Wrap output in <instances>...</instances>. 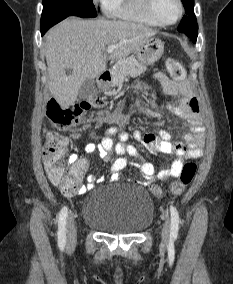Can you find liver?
Segmentation results:
<instances>
[{
    "label": "liver",
    "instance_id": "1",
    "mask_svg": "<svg viewBox=\"0 0 233 284\" xmlns=\"http://www.w3.org/2000/svg\"><path fill=\"white\" fill-rule=\"evenodd\" d=\"M156 34L149 27L127 21L65 19L48 31L44 44L52 96L62 108L69 107L84 81L107 69V46H116L110 59L119 60L138 51ZM66 69H72V74L67 75Z\"/></svg>",
    "mask_w": 233,
    "mask_h": 284
}]
</instances>
